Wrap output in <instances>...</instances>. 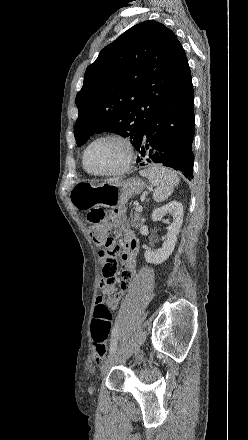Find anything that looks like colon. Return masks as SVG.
<instances>
[{
    "mask_svg": "<svg viewBox=\"0 0 248 440\" xmlns=\"http://www.w3.org/2000/svg\"><path fill=\"white\" fill-rule=\"evenodd\" d=\"M106 212L101 208L92 209L86 214L87 221L91 224L90 233L94 242L103 247L100 256L117 257L122 249L121 243L110 233L105 222ZM113 316L110 309L104 304L96 302L91 332L95 342L96 360L101 361L106 355V341L112 328Z\"/></svg>",
    "mask_w": 248,
    "mask_h": 440,
    "instance_id": "1",
    "label": "colon"
}]
</instances>
